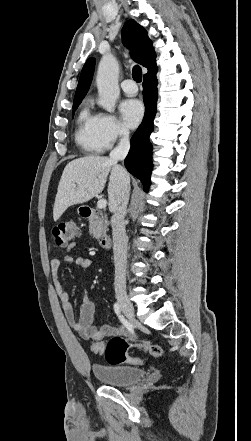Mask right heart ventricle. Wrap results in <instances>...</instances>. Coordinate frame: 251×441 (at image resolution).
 I'll return each instance as SVG.
<instances>
[{
  "instance_id": "right-heart-ventricle-1",
  "label": "right heart ventricle",
  "mask_w": 251,
  "mask_h": 441,
  "mask_svg": "<svg viewBox=\"0 0 251 441\" xmlns=\"http://www.w3.org/2000/svg\"><path fill=\"white\" fill-rule=\"evenodd\" d=\"M76 143L87 153H100L105 148L97 131V115L88 106L81 109L75 130Z\"/></svg>"
}]
</instances>
